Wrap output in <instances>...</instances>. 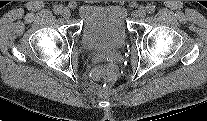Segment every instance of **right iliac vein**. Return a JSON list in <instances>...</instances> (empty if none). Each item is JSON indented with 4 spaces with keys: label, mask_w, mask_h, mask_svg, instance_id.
Wrapping results in <instances>:
<instances>
[{
    "label": "right iliac vein",
    "mask_w": 207,
    "mask_h": 121,
    "mask_svg": "<svg viewBox=\"0 0 207 121\" xmlns=\"http://www.w3.org/2000/svg\"><path fill=\"white\" fill-rule=\"evenodd\" d=\"M62 16L65 18V19H68L70 18L71 16V12L68 8H63L62 10Z\"/></svg>",
    "instance_id": "obj_1"
}]
</instances>
